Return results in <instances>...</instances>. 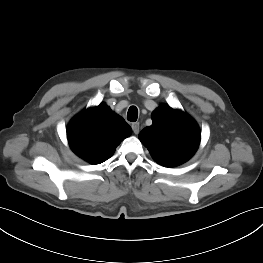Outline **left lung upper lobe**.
Wrapping results in <instances>:
<instances>
[{"instance_id": "obj_1", "label": "left lung upper lobe", "mask_w": 263, "mask_h": 263, "mask_svg": "<svg viewBox=\"0 0 263 263\" xmlns=\"http://www.w3.org/2000/svg\"><path fill=\"white\" fill-rule=\"evenodd\" d=\"M151 118L152 125L140 132L139 139L158 164L175 167L194 155L201 133L192 117L162 104Z\"/></svg>"}]
</instances>
